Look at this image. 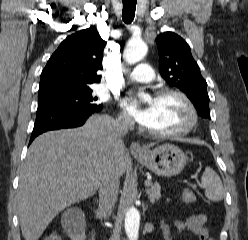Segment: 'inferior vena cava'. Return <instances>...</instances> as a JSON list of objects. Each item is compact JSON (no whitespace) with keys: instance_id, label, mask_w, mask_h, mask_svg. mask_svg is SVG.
I'll use <instances>...</instances> for the list:
<instances>
[{"instance_id":"obj_1","label":"inferior vena cava","mask_w":248,"mask_h":240,"mask_svg":"<svg viewBox=\"0 0 248 240\" xmlns=\"http://www.w3.org/2000/svg\"><path fill=\"white\" fill-rule=\"evenodd\" d=\"M131 125L129 118L112 122L108 132V142L114 149L120 147L123 142L122 137L127 134ZM119 178L113 158H110L105 165L99 185V211L104 218L110 215L117 201Z\"/></svg>"}]
</instances>
